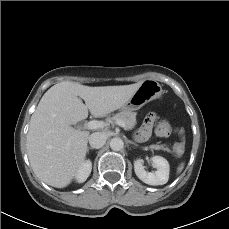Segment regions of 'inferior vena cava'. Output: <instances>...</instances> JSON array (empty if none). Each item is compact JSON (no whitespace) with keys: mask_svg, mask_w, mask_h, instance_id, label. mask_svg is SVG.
Segmentation results:
<instances>
[{"mask_svg":"<svg viewBox=\"0 0 229 229\" xmlns=\"http://www.w3.org/2000/svg\"><path fill=\"white\" fill-rule=\"evenodd\" d=\"M106 136L103 133L95 132L89 137V144L92 148L99 149L106 143Z\"/></svg>","mask_w":229,"mask_h":229,"instance_id":"602c4592","label":"inferior vena cava"}]
</instances>
